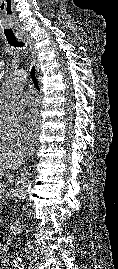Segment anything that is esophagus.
<instances>
[{
    "label": "esophagus",
    "mask_w": 118,
    "mask_h": 269,
    "mask_svg": "<svg viewBox=\"0 0 118 269\" xmlns=\"http://www.w3.org/2000/svg\"><path fill=\"white\" fill-rule=\"evenodd\" d=\"M24 41H26L30 45V48L32 49V56H33L34 63L36 64V71H37V74H39L40 64H39V61L37 59V52L34 49L33 43L30 39H24Z\"/></svg>",
    "instance_id": "obj_1"
}]
</instances>
